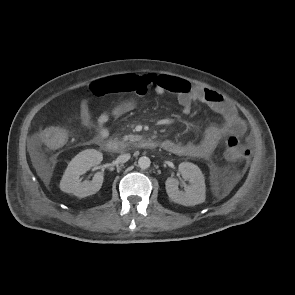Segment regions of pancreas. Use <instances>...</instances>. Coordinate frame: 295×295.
<instances>
[{
  "instance_id": "cf45deb5",
  "label": "pancreas",
  "mask_w": 295,
  "mask_h": 295,
  "mask_svg": "<svg viewBox=\"0 0 295 295\" xmlns=\"http://www.w3.org/2000/svg\"><path fill=\"white\" fill-rule=\"evenodd\" d=\"M132 139H134V136L132 135H128L123 138L124 141L132 140Z\"/></svg>"
}]
</instances>
